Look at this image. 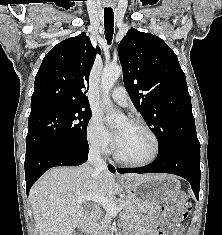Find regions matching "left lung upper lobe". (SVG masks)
<instances>
[{
    "label": "left lung upper lobe",
    "mask_w": 222,
    "mask_h": 235,
    "mask_svg": "<svg viewBox=\"0 0 222 235\" xmlns=\"http://www.w3.org/2000/svg\"><path fill=\"white\" fill-rule=\"evenodd\" d=\"M129 96L156 134L159 152L174 145L200 146L185 74L159 37L131 28L118 46Z\"/></svg>",
    "instance_id": "obj_1"
}]
</instances>
